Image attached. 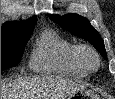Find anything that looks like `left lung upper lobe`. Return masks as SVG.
Masks as SVG:
<instances>
[{"instance_id":"left-lung-upper-lobe-1","label":"left lung upper lobe","mask_w":115,"mask_h":99,"mask_svg":"<svg viewBox=\"0 0 115 99\" xmlns=\"http://www.w3.org/2000/svg\"><path fill=\"white\" fill-rule=\"evenodd\" d=\"M49 17L63 29L88 40L94 45L100 54L107 59L103 39L86 18L77 14H67L62 17L59 15H49Z\"/></svg>"}]
</instances>
